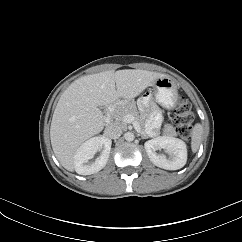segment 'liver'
Masks as SVG:
<instances>
[{
    "label": "liver",
    "mask_w": 242,
    "mask_h": 242,
    "mask_svg": "<svg viewBox=\"0 0 242 242\" xmlns=\"http://www.w3.org/2000/svg\"><path fill=\"white\" fill-rule=\"evenodd\" d=\"M165 76L146 70L125 69L75 80L61 95L50 127L52 148L60 164L73 171L74 155L79 146L103 130L104 116L99 106L119 99L128 102Z\"/></svg>",
    "instance_id": "1"
}]
</instances>
